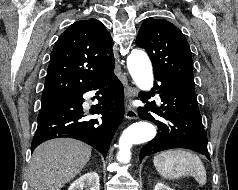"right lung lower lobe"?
I'll return each instance as SVG.
<instances>
[{
  "instance_id": "obj_1",
  "label": "right lung lower lobe",
  "mask_w": 238,
  "mask_h": 190,
  "mask_svg": "<svg viewBox=\"0 0 238 190\" xmlns=\"http://www.w3.org/2000/svg\"><path fill=\"white\" fill-rule=\"evenodd\" d=\"M92 90L96 91L98 104L93 106L90 113L101 114L100 120L85 118L87 114L83 111V94ZM123 101V85L111 73L87 85L67 100L41 108L31 150L46 140L62 137V134H73L76 139L89 144L106 157L112 137L122 123Z\"/></svg>"
}]
</instances>
